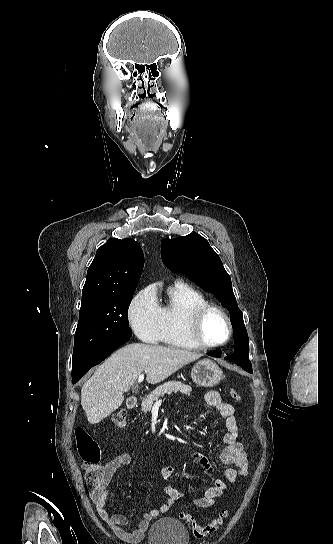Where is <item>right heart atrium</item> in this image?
Masks as SVG:
<instances>
[{"instance_id":"right-heart-atrium-1","label":"right heart atrium","mask_w":333,"mask_h":544,"mask_svg":"<svg viewBox=\"0 0 333 544\" xmlns=\"http://www.w3.org/2000/svg\"><path fill=\"white\" fill-rule=\"evenodd\" d=\"M128 318L133 332L142 341L156 344L162 340V312L152 287L142 289L134 297L129 307Z\"/></svg>"}]
</instances>
